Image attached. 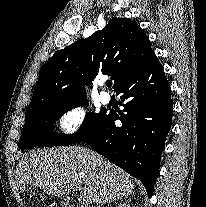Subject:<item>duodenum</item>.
<instances>
[{
	"instance_id": "obj_1",
	"label": "duodenum",
	"mask_w": 206,
	"mask_h": 207,
	"mask_svg": "<svg viewBox=\"0 0 206 207\" xmlns=\"http://www.w3.org/2000/svg\"><path fill=\"white\" fill-rule=\"evenodd\" d=\"M65 207H80L74 200L69 199L66 203H65Z\"/></svg>"
}]
</instances>
